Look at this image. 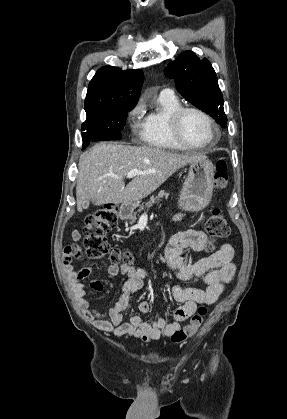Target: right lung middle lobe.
Here are the masks:
<instances>
[{
	"label": "right lung middle lobe",
	"instance_id": "obj_1",
	"mask_svg": "<svg viewBox=\"0 0 287 419\" xmlns=\"http://www.w3.org/2000/svg\"><path fill=\"white\" fill-rule=\"evenodd\" d=\"M134 106L135 104L121 105L86 113L87 118L81 128L83 149L90 141L120 140L127 114Z\"/></svg>",
	"mask_w": 287,
	"mask_h": 419
}]
</instances>
